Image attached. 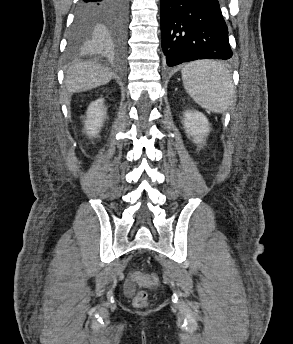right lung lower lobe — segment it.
<instances>
[{
	"mask_svg": "<svg viewBox=\"0 0 293 344\" xmlns=\"http://www.w3.org/2000/svg\"><path fill=\"white\" fill-rule=\"evenodd\" d=\"M78 9L98 21L94 45L121 51L127 33L128 0H80Z\"/></svg>",
	"mask_w": 293,
	"mask_h": 344,
	"instance_id": "1",
	"label": "right lung lower lobe"
}]
</instances>
